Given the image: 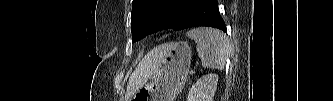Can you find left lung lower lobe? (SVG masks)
Instances as JSON below:
<instances>
[{"label":"left lung lower lobe","mask_w":333,"mask_h":101,"mask_svg":"<svg viewBox=\"0 0 333 101\" xmlns=\"http://www.w3.org/2000/svg\"><path fill=\"white\" fill-rule=\"evenodd\" d=\"M184 10L178 29L196 26H209L227 32L224 20L220 16L217 0H180Z\"/></svg>","instance_id":"1"}]
</instances>
